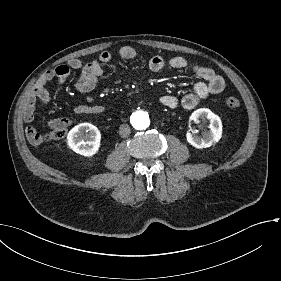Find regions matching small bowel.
<instances>
[{
    "label": "small bowel",
    "instance_id": "small-bowel-1",
    "mask_svg": "<svg viewBox=\"0 0 281 281\" xmlns=\"http://www.w3.org/2000/svg\"><path fill=\"white\" fill-rule=\"evenodd\" d=\"M118 56L124 60L138 59L140 53L129 46H124L119 49ZM109 52H102L97 59L82 62L78 59H72L68 65L58 66L54 70L45 72L35 83L32 94L26 102L23 117L26 123H31L34 120V113L37 102L47 103L50 101V93L47 85L57 80L59 84L64 83L70 76L71 71L79 73L76 82L77 89L82 93H88L94 89L98 80L103 75L102 66L111 61ZM148 67L152 72L158 73L166 68L171 69H188L191 70L201 80L196 82L191 92L177 97L175 95H163L160 98L162 105L170 108L183 110H191L198 103L209 95L219 94L225 89L224 78L217 74L213 69L194 64L189 59L182 56H175L165 59L162 56L154 55L148 60ZM106 111L103 105H79L74 109L77 115L82 114H103ZM54 124V122L52 123ZM26 136L33 137L28 140L39 145L43 141V137L36 132L32 126L26 128Z\"/></svg>",
    "mask_w": 281,
    "mask_h": 281
}]
</instances>
